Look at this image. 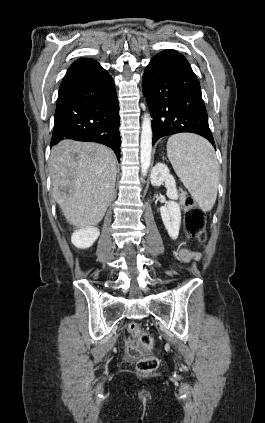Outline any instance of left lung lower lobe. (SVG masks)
Listing matches in <instances>:
<instances>
[{"mask_svg": "<svg viewBox=\"0 0 265 423\" xmlns=\"http://www.w3.org/2000/svg\"><path fill=\"white\" fill-rule=\"evenodd\" d=\"M142 85L153 118V144L167 135L191 132L215 147L199 81L183 55L174 50L157 54L144 71Z\"/></svg>", "mask_w": 265, "mask_h": 423, "instance_id": "0a47b994", "label": "left lung lower lobe"}]
</instances>
